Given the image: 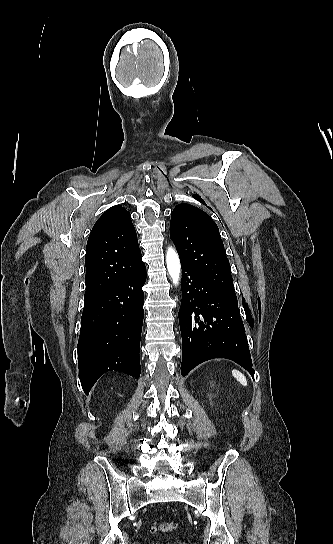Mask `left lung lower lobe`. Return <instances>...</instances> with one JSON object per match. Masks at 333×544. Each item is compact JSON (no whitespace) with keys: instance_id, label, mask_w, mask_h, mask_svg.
<instances>
[{"instance_id":"obj_1","label":"left lung lower lobe","mask_w":333,"mask_h":544,"mask_svg":"<svg viewBox=\"0 0 333 544\" xmlns=\"http://www.w3.org/2000/svg\"><path fill=\"white\" fill-rule=\"evenodd\" d=\"M181 268V374L186 376L198 364L222 357L238 363L253 376L238 302L188 265L181 263Z\"/></svg>"}]
</instances>
